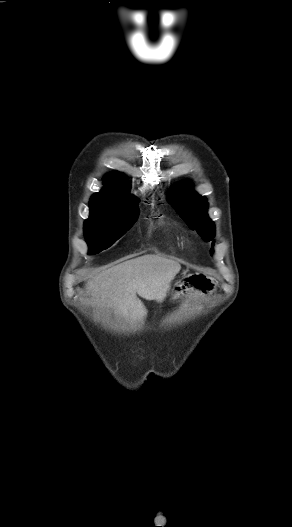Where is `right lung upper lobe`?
<instances>
[{
  "label": "right lung upper lobe",
  "instance_id": "right-lung-upper-lobe-1",
  "mask_svg": "<svg viewBox=\"0 0 292 527\" xmlns=\"http://www.w3.org/2000/svg\"><path fill=\"white\" fill-rule=\"evenodd\" d=\"M105 187L91 199L123 206H135L137 200L128 191L124 176L118 172L106 175Z\"/></svg>",
  "mask_w": 292,
  "mask_h": 527
}]
</instances>
